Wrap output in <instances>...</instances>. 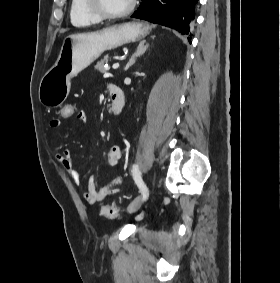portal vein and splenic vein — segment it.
<instances>
[{
	"label": "portal vein and splenic vein",
	"instance_id": "1",
	"mask_svg": "<svg viewBox=\"0 0 280 283\" xmlns=\"http://www.w3.org/2000/svg\"><path fill=\"white\" fill-rule=\"evenodd\" d=\"M118 67H119V63H118V62H116V63H114V64L112 65V68H113V69H118Z\"/></svg>",
	"mask_w": 280,
	"mask_h": 283
}]
</instances>
